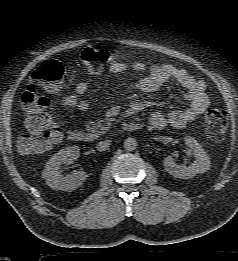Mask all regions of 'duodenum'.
<instances>
[{
  "instance_id": "duodenum-1",
  "label": "duodenum",
  "mask_w": 238,
  "mask_h": 261,
  "mask_svg": "<svg viewBox=\"0 0 238 261\" xmlns=\"http://www.w3.org/2000/svg\"><path fill=\"white\" fill-rule=\"evenodd\" d=\"M141 128V124L137 122H126L122 125V130L125 132H133ZM70 141L74 143H88L92 140L89 133L83 130H72L68 134Z\"/></svg>"
}]
</instances>
